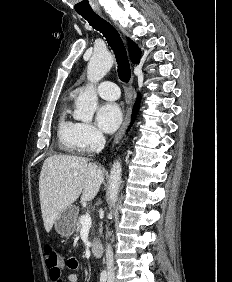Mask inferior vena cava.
I'll list each match as a JSON object with an SVG mask.
<instances>
[{
	"mask_svg": "<svg viewBox=\"0 0 232 282\" xmlns=\"http://www.w3.org/2000/svg\"><path fill=\"white\" fill-rule=\"evenodd\" d=\"M105 137L102 133H98L96 137V153L101 152V150L105 146ZM106 265H107V273H108V282H113L115 275L113 269V252L110 244H107L106 247Z\"/></svg>",
	"mask_w": 232,
	"mask_h": 282,
	"instance_id": "602c4592",
	"label": "inferior vena cava"
}]
</instances>
